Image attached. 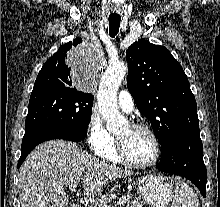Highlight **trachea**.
<instances>
[{
    "mask_svg": "<svg viewBox=\"0 0 220 207\" xmlns=\"http://www.w3.org/2000/svg\"><path fill=\"white\" fill-rule=\"evenodd\" d=\"M120 21H121L120 16L109 17V34L111 37H115L119 32Z\"/></svg>",
    "mask_w": 220,
    "mask_h": 207,
    "instance_id": "obj_1",
    "label": "trachea"
}]
</instances>
